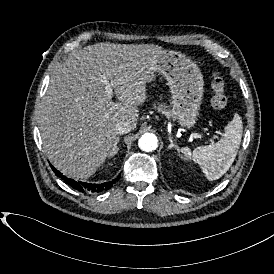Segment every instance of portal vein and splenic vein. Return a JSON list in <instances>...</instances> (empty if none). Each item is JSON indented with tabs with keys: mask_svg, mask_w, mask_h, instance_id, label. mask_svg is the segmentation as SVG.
I'll list each match as a JSON object with an SVG mask.
<instances>
[{
	"mask_svg": "<svg viewBox=\"0 0 274 274\" xmlns=\"http://www.w3.org/2000/svg\"><path fill=\"white\" fill-rule=\"evenodd\" d=\"M102 81H103V84H104V88L106 90V95L107 96H112V94H113V90H112L113 85L110 82H108L105 77L102 79ZM201 138H202V136H201Z\"/></svg>",
	"mask_w": 274,
	"mask_h": 274,
	"instance_id": "portal-vein-and-splenic-vein-1",
	"label": "portal vein and splenic vein"
}]
</instances>
